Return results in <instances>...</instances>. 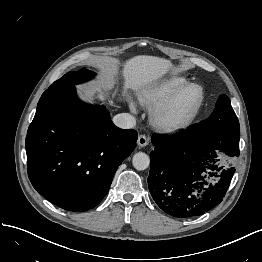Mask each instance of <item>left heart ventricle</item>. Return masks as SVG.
I'll return each instance as SVG.
<instances>
[{
    "label": "left heart ventricle",
    "mask_w": 262,
    "mask_h": 262,
    "mask_svg": "<svg viewBox=\"0 0 262 262\" xmlns=\"http://www.w3.org/2000/svg\"><path fill=\"white\" fill-rule=\"evenodd\" d=\"M198 97V91L195 88H190L188 89L183 95L182 98L179 102V104L177 105V107L174 109V111L172 112V116L176 117V116H181V115H186L188 114L196 100Z\"/></svg>",
    "instance_id": "left-heart-ventricle-1"
}]
</instances>
